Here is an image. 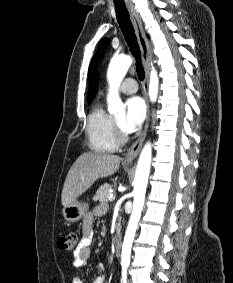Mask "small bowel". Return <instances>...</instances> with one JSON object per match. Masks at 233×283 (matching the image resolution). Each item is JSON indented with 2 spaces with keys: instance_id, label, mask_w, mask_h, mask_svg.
<instances>
[{
  "instance_id": "c3829d8e",
  "label": "small bowel",
  "mask_w": 233,
  "mask_h": 283,
  "mask_svg": "<svg viewBox=\"0 0 233 283\" xmlns=\"http://www.w3.org/2000/svg\"><path fill=\"white\" fill-rule=\"evenodd\" d=\"M106 211L104 206H98L84 216L82 224V238L78 244L77 249L74 252V266L76 268L83 267L91 254V245L94 237L93 223L96 217L104 214ZM99 274L93 279L92 283H104V271L100 267ZM72 283H84L83 280L75 276L72 280Z\"/></svg>"
}]
</instances>
